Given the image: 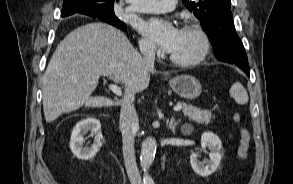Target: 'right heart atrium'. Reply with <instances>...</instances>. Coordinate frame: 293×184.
<instances>
[{
	"label": "right heart atrium",
	"instance_id": "right-heart-atrium-1",
	"mask_svg": "<svg viewBox=\"0 0 293 184\" xmlns=\"http://www.w3.org/2000/svg\"><path fill=\"white\" fill-rule=\"evenodd\" d=\"M139 45L141 51L146 55H155L157 53L156 45L146 37L140 39Z\"/></svg>",
	"mask_w": 293,
	"mask_h": 184
}]
</instances>
